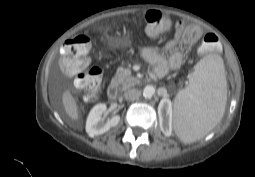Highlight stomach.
Masks as SVG:
<instances>
[{"mask_svg":"<svg viewBox=\"0 0 255 177\" xmlns=\"http://www.w3.org/2000/svg\"><path fill=\"white\" fill-rule=\"evenodd\" d=\"M128 44V40L126 38L120 39V46H126Z\"/></svg>","mask_w":255,"mask_h":177,"instance_id":"stomach-1","label":"stomach"}]
</instances>
